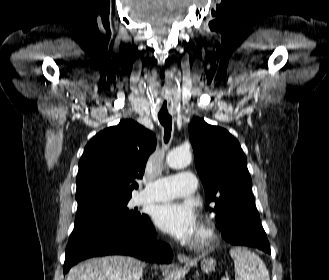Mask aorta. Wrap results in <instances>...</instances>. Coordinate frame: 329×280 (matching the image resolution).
I'll return each mask as SVG.
<instances>
[{
  "mask_svg": "<svg viewBox=\"0 0 329 280\" xmlns=\"http://www.w3.org/2000/svg\"><path fill=\"white\" fill-rule=\"evenodd\" d=\"M191 161V152L188 149L183 148L171 150L166 157L168 166L173 169H181L187 167Z\"/></svg>",
  "mask_w": 329,
  "mask_h": 280,
  "instance_id": "aorta-1",
  "label": "aorta"
}]
</instances>
